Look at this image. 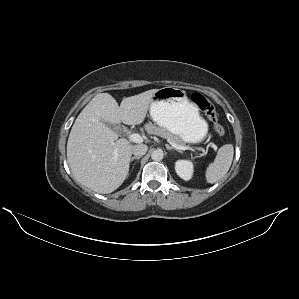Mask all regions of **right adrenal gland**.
I'll return each mask as SVG.
<instances>
[{
	"instance_id": "right-adrenal-gland-1",
	"label": "right adrenal gland",
	"mask_w": 299,
	"mask_h": 299,
	"mask_svg": "<svg viewBox=\"0 0 299 299\" xmlns=\"http://www.w3.org/2000/svg\"><path fill=\"white\" fill-rule=\"evenodd\" d=\"M141 158V156H134L130 159V161L132 162L134 159L139 160Z\"/></svg>"
}]
</instances>
